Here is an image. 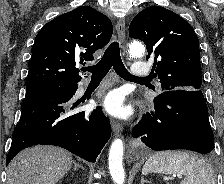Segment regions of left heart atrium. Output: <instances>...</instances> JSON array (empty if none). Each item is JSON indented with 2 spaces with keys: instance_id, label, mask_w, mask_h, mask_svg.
I'll list each match as a JSON object with an SVG mask.
<instances>
[{
  "instance_id": "39dd6f15",
  "label": "left heart atrium",
  "mask_w": 224,
  "mask_h": 184,
  "mask_svg": "<svg viewBox=\"0 0 224 184\" xmlns=\"http://www.w3.org/2000/svg\"><path fill=\"white\" fill-rule=\"evenodd\" d=\"M105 109L112 115L125 116L128 109L123 105L122 95L117 92H111L104 100Z\"/></svg>"
}]
</instances>
